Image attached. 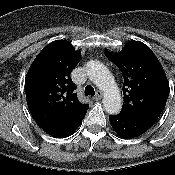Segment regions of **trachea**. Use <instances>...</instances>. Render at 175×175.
<instances>
[{
	"label": "trachea",
	"instance_id": "trachea-1",
	"mask_svg": "<svg viewBox=\"0 0 175 175\" xmlns=\"http://www.w3.org/2000/svg\"><path fill=\"white\" fill-rule=\"evenodd\" d=\"M85 94L87 95V96H94L95 95V91H94V88L91 86V85H87L86 87H85Z\"/></svg>",
	"mask_w": 175,
	"mask_h": 175
}]
</instances>
